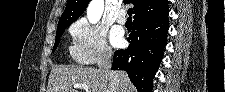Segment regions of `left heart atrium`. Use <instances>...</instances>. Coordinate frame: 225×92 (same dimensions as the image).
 <instances>
[{
	"mask_svg": "<svg viewBox=\"0 0 225 92\" xmlns=\"http://www.w3.org/2000/svg\"><path fill=\"white\" fill-rule=\"evenodd\" d=\"M111 40L114 45H120L122 43V34L114 30L111 34Z\"/></svg>",
	"mask_w": 225,
	"mask_h": 92,
	"instance_id": "39dd6f15",
	"label": "left heart atrium"
}]
</instances>
